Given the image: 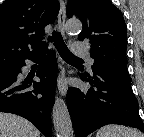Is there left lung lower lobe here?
<instances>
[{"mask_svg": "<svg viewBox=\"0 0 144 137\" xmlns=\"http://www.w3.org/2000/svg\"><path fill=\"white\" fill-rule=\"evenodd\" d=\"M79 75L92 87L88 91L69 88L67 92V107L76 137H85L107 124L126 125L144 133L131 79L102 70L92 77Z\"/></svg>", "mask_w": 144, "mask_h": 137, "instance_id": "1", "label": "left lung lower lobe"}]
</instances>
